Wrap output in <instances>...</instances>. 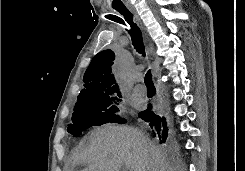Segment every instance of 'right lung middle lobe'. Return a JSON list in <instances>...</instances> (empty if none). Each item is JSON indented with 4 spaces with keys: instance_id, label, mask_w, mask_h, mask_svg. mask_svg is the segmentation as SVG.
Listing matches in <instances>:
<instances>
[{
    "instance_id": "right-lung-middle-lobe-1",
    "label": "right lung middle lobe",
    "mask_w": 245,
    "mask_h": 171,
    "mask_svg": "<svg viewBox=\"0 0 245 171\" xmlns=\"http://www.w3.org/2000/svg\"><path fill=\"white\" fill-rule=\"evenodd\" d=\"M118 96L121 97L120 93ZM114 100L117 98L110 95L78 100L72 115V124L68 126L67 131L78 137L93 126L106 123H126L125 119H120L118 115H114L118 111L115 105L108 108Z\"/></svg>"
}]
</instances>
